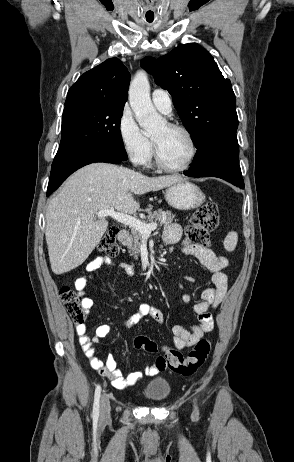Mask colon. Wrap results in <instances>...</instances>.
Segmentation results:
<instances>
[{
	"instance_id": "5ec220e1",
	"label": "colon",
	"mask_w": 294,
	"mask_h": 462,
	"mask_svg": "<svg viewBox=\"0 0 294 462\" xmlns=\"http://www.w3.org/2000/svg\"><path fill=\"white\" fill-rule=\"evenodd\" d=\"M219 223L217 206L214 203H206L198 208L192 215L190 223L186 227V236L195 246L208 249L209 233ZM118 229L110 227L98 244V249L109 256L118 254L119 248L116 243ZM60 298L67 309L70 318L76 325H81L85 320V310L82 297L72 288L64 286L60 289ZM135 346L147 352L157 351V345L151 339L139 336L135 339ZM211 350V343L207 339L199 340L196 345L184 355L177 350H169L164 356H159L155 363L159 369H169L175 373L189 376L194 374L206 361Z\"/></svg>"
}]
</instances>
